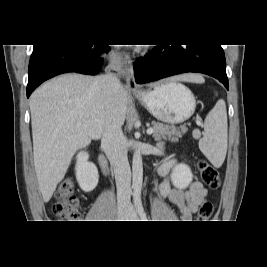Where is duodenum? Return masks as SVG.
Returning a JSON list of instances; mask_svg holds the SVG:
<instances>
[{"instance_id": "1", "label": "duodenum", "mask_w": 267, "mask_h": 267, "mask_svg": "<svg viewBox=\"0 0 267 267\" xmlns=\"http://www.w3.org/2000/svg\"><path fill=\"white\" fill-rule=\"evenodd\" d=\"M98 162H99V165H100L104 174L107 175L111 172V167L108 163V160L106 159V157L103 154L99 155Z\"/></svg>"}]
</instances>
